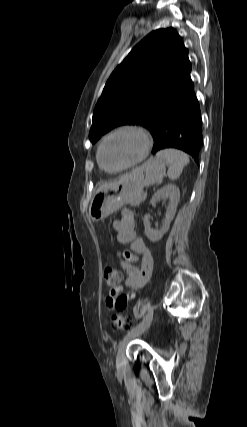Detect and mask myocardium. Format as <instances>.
<instances>
[{
    "label": "myocardium",
    "mask_w": 247,
    "mask_h": 427,
    "mask_svg": "<svg viewBox=\"0 0 247 427\" xmlns=\"http://www.w3.org/2000/svg\"><path fill=\"white\" fill-rule=\"evenodd\" d=\"M123 131H133V132L139 134L143 140V149H142V152L139 155V157L137 159H135L133 162H131V163H129V164H127L121 168L110 170V169L106 168L102 162V157H101L102 149H103V146L105 145V143L111 137H113L114 135H116L120 132H123ZM152 143H153V140H152L151 134L143 126L137 125V124H122V125L114 128L113 130H111L109 133H107L103 137V139L101 140V142L98 146V151H97L98 163H99L100 167L108 173H118V172L125 171L127 169H130V168L138 165L148 156V154L151 150V147H152Z\"/></svg>",
    "instance_id": "myocardium-1"
}]
</instances>
